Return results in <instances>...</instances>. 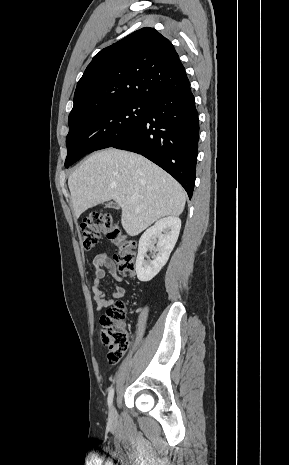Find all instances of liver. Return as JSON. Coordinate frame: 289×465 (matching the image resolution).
Instances as JSON below:
<instances>
[{"label": "liver", "mask_w": 289, "mask_h": 465, "mask_svg": "<svg viewBox=\"0 0 289 465\" xmlns=\"http://www.w3.org/2000/svg\"><path fill=\"white\" fill-rule=\"evenodd\" d=\"M75 217L114 200L122 208L121 224L136 236L165 216H179L185 206L183 188L168 173L129 151L109 148L90 155L68 179ZM135 197L133 202L127 198Z\"/></svg>", "instance_id": "liver-1"}]
</instances>
